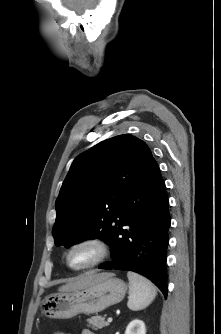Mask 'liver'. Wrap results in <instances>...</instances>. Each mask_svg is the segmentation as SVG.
<instances>
[{"mask_svg": "<svg viewBox=\"0 0 221 334\" xmlns=\"http://www.w3.org/2000/svg\"><path fill=\"white\" fill-rule=\"evenodd\" d=\"M105 273H96L95 271L87 272L78 277L73 282L67 283L59 288V291L69 292L84 289L99 281Z\"/></svg>", "mask_w": 221, "mask_h": 334, "instance_id": "6515ba94", "label": "liver"}]
</instances>
